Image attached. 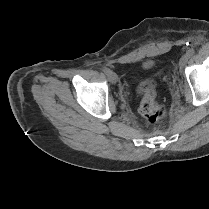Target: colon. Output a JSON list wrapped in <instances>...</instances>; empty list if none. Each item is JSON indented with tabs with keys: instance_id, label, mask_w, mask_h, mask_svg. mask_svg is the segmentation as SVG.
<instances>
[{
	"instance_id": "colon-1",
	"label": "colon",
	"mask_w": 209,
	"mask_h": 209,
	"mask_svg": "<svg viewBox=\"0 0 209 209\" xmlns=\"http://www.w3.org/2000/svg\"><path fill=\"white\" fill-rule=\"evenodd\" d=\"M138 92L142 97L139 111L147 122L157 123L167 115V110L156 100V83L153 80L142 81Z\"/></svg>"
}]
</instances>
